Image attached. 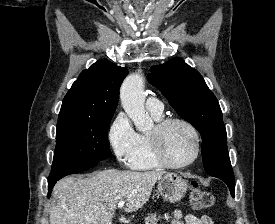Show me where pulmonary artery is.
<instances>
[{"mask_svg":"<svg viewBox=\"0 0 275 224\" xmlns=\"http://www.w3.org/2000/svg\"><path fill=\"white\" fill-rule=\"evenodd\" d=\"M146 108L149 112L160 114L163 112L162 102L153 96H150L146 100Z\"/></svg>","mask_w":275,"mask_h":224,"instance_id":"1","label":"pulmonary artery"}]
</instances>
